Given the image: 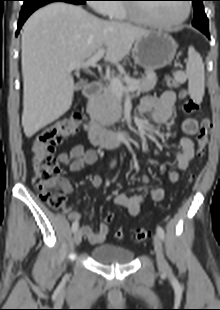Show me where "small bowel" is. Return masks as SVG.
I'll use <instances>...</instances> for the list:
<instances>
[{
  "mask_svg": "<svg viewBox=\"0 0 220 310\" xmlns=\"http://www.w3.org/2000/svg\"><path fill=\"white\" fill-rule=\"evenodd\" d=\"M175 102L176 93L167 90L160 97L146 96L142 98L138 109L140 113L149 115L155 124L165 125L173 114ZM181 128L186 136L181 138V150L175 158L177 171H171L168 174V180L173 184L177 183L180 179L179 171H185L194 157L195 148L191 137L198 132V121L194 118H186L182 122ZM97 159V152L93 149L86 148L82 144L74 145L68 151L62 152L58 156L59 162L68 166L71 172H77L86 165H92L96 163ZM90 181L96 188L102 185V178L99 175L92 176ZM140 182L142 184L148 182V178L145 174H141ZM66 192L71 193L72 188L66 186ZM149 193L154 201H161L165 194L161 187L152 188ZM144 197V194L134 196L115 194L112 200L115 205L125 208L131 216H137L140 213L141 203ZM66 214L68 219L74 222L81 218L79 212L68 211L66 209ZM80 230L82 235H84L91 244H100L104 242L109 232V228L105 223H101L97 231H94L88 225H83Z\"/></svg>",
  "mask_w": 220,
  "mask_h": 310,
  "instance_id": "1",
  "label": "small bowel"
}]
</instances>
